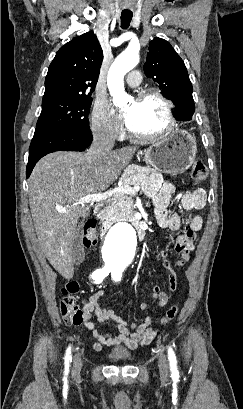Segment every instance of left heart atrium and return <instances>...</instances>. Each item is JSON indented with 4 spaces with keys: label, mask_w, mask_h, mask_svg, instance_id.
I'll return each mask as SVG.
<instances>
[{
    "label": "left heart atrium",
    "mask_w": 243,
    "mask_h": 409,
    "mask_svg": "<svg viewBox=\"0 0 243 409\" xmlns=\"http://www.w3.org/2000/svg\"><path fill=\"white\" fill-rule=\"evenodd\" d=\"M125 122H126V124H127V120H126V117H125Z\"/></svg>",
    "instance_id": "39dd6f15"
}]
</instances>
